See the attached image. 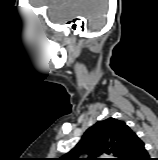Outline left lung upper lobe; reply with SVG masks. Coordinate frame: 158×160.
Returning a JSON list of instances; mask_svg holds the SVG:
<instances>
[{"label": "left lung upper lobe", "instance_id": "obj_1", "mask_svg": "<svg viewBox=\"0 0 158 160\" xmlns=\"http://www.w3.org/2000/svg\"><path fill=\"white\" fill-rule=\"evenodd\" d=\"M134 134L124 121L114 118L99 121L88 128L79 143L58 160H124ZM81 154L88 157L77 158ZM103 154H111L115 158H99Z\"/></svg>", "mask_w": 158, "mask_h": 160}]
</instances>
